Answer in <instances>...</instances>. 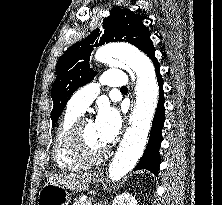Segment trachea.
Here are the masks:
<instances>
[{
  "instance_id": "trachea-1",
  "label": "trachea",
  "mask_w": 222,
  "mask_h": 205,
  "mask_svg": "<svg viewBox=\"0 0 222 205\" xmlns=\"http://www.w3.org/2000/svg\"><path fill=\"white\" fill-rule=\"evenodd\" d=\"M121 90H128L127 87H122Z\"/></svg>"
}]
</instances>
